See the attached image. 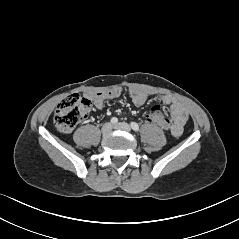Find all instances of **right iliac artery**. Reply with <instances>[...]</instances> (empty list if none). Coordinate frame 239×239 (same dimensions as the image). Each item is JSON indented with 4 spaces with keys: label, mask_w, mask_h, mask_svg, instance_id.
<instances>
[{
    "label": "right iliac artery",
    "mask_w": 239,
    "mask_h": 239,
    "mask_svg": "<svg viewBox=\"0 0 239 239\" xmlns=\"http://www.w3.org/2000/svg\"><path fill=\"white\" fill-rule=\"evenodd\" d=\"M118 122V119L116 118V117H113L112 119H111V123L112 124H116Z\"/></svg>",
    "instance_id": "obj_1"
}]
</instances>
